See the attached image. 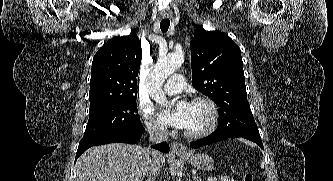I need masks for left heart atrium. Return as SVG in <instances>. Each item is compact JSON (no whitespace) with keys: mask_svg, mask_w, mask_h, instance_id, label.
Here are the masks:
<instances>
[{"mask_svg":"<svg viewBox=\"0 0 333 181\" xmlns=\"http://www.w3.org/2000/svg\"><path fill=\"white\" fill-rule=\"evenodd\" d=\"M190 106L187 101L180 100L173 107L160 111L159 118L167 125L185 129L190 119Z\"/></svg>","mask_w":333,"mask_h":181,"instance_id":"39dd6f15","label":"left heart atrium"}]
</instances>
